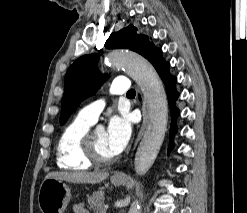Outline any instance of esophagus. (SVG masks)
I'll return each instance as SVG.
<instances>
[{"instance_id":"1","label":"esophagus","mask_w":247,"mask_h":213,"mask_svg":"<svg viewBox=\"0 0 247 213\" xmlns=\"http://www.w3.org/2000/svg\"><path fill=\"white\" fill-rule=\"evenodd\" d=\"M142 109H143L142 124H141V128L139 130L138 136L136 138V141L134 143V147H136V145L138 144L139 140L141 139V137H142V135L144 133L145 127H146V123H147V110H146V105H145L144 102H143V105H142ZM114 177L123 178L124 175L122 173H115Z\"/></svg>"}]
</instances>
